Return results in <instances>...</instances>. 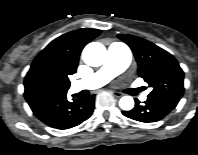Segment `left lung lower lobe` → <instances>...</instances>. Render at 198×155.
<instances>
[{
    "label": "left lung lower lobe",
    "instance_id": "obj_1",
    "mask_svg": "<svg viewBox=\"0 0 198 155\" xmlns=\"http://www.w3.org/2000/svg\"><path fill=\"white\" fill-rule=\"evenodd\" d=\"M136 105L130 111H123L126 117L139 122H156L165 117L178 104L179 100L173 98H147L144 105H140L139 101L135 100Z\"/></svg>",
    "mask_w": 198,
    "mask_h": 155
}]
</instances>
